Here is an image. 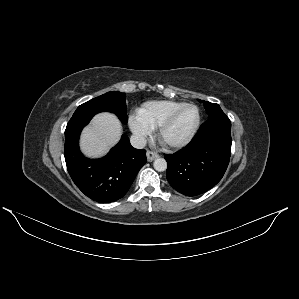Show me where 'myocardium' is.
Returning <instances> with one entry per match:
<instances>
[{"instance_id": "myocardium-1", "label": "myocardium", "mask_w": 299, "mask_h": 299, "mask_svg": "<svg viewBox=\"0 0 299 299\" xmlns=\"http://www.w3.org/2000/svg\"><path fill=\"white\" fill-rule=\"evenodd\" d=\"M187 107H194L197 110V120L196 123L193 127V129L191 130V132L183 139L179 140V141H175V142H168L165 140L164 135L166 130L171 126V124L174 122V120L176 119V117L178 116V114L185 108ZM201 124V111L200 108L195 105V104H191V103H185L184 105L178 107L177 109H175L174 111H172L165 119L164 121L159 125L158 127V137L160 142L167 148L170 149H176V148H181L186 146L188 143H190V141L194 138V136L196 135L199 127Z\"/></svg>"}]
</instances>
